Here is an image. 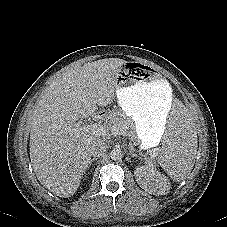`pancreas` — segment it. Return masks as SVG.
<instances>
[{"label": "pancreas", "instance_id": "cf45deb5", "mask_svg": "<svg viewBox=\"0 0 227 227\" xmlns=\"http://www.w3.org/2000/svg\"><path fill=\"white\" fill-rule=\"evenodd\" d=\"M106 126L118 135L133 137L134 133L130 130L134 128L133 122L121 111L114 110L110 112L106 117Z\"/></svg>", "mask_w": 227, "mask_h": 227}]
</instances>
